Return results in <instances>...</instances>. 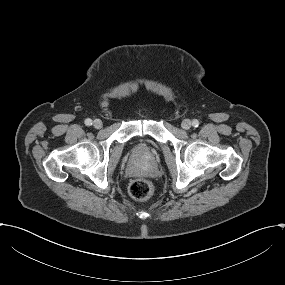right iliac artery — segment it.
Instances as JSON below:
<instances>
[{"instance_id": "obj_1", "label": "right iliac artery", "mask_w": 285, "mask_h": 285, "mask_svg": "<svg viewBox=\"0 0 285 285\" xmlns=\"http://www.w3.org/2000/svg\"><path fill=\"white\" fill-rule=\"evenodd\" d=\"M85 124L87 125V126H90V125H92V120L91 119H86L85 120Z\"/></svg>"}]
</instances>
